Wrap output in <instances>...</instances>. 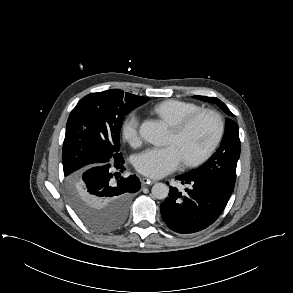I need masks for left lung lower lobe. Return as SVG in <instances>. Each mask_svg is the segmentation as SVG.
<instances>
[{
    "label": "left lung lower lobe",
    "instance_id": "left-lung-lower-lobe-1",
    "mask_svg": "<svg viewBox=\"0 0 293 293\" xmlns=\"http://www.w3.org/2000/svg\"><path fill=\"white\" fill-rule=\"evenodd\" d=\"M176 179L182 184H190L191 188L182 194L170 186L169 195L160 210L166 225L181 234L195 233L214 223L225 209L234 189V186L219 179L191 172Z\"/></svg>",
    "mask_w": 293,
    "mask_h": 293
}]
</instances>
